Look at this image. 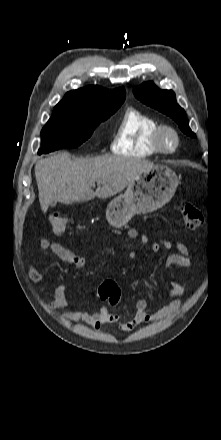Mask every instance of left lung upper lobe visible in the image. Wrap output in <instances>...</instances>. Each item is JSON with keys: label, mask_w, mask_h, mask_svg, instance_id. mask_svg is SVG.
Wrapping results in <instances>:
<instances>
[{"label": "left lung upper lobe", "mask_w": 221, "mask_h": 440, "mask_svg": "<svg viewBox=\"0 0 221 440\" xmlns=\"http://www.w3.org/2000/svg\"><path fill=\"white\" fill-rule=\"evenodd\" d=\"M134 95L141 102L170 116L178 123L180 129L188 136L195 137L191 131L186 113L175 100V94L171 90H161L153 83H143L134 90Z\"/></svg>", "instance_id": "obj_1"}]
</instances>
